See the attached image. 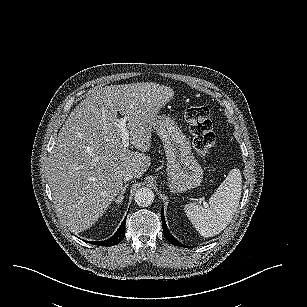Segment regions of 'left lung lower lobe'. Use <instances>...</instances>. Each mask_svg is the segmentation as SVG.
Wrapping results in <instances>:
<instances>
[{"label":"left lung lower lobe","mask_w":307,"mask_h":307,"mask_svg":"<svg viewBox=\"0 0 307 307\" xmlns=\"http://www.w3.org/2000/svg\"><path fill=\"white\" fill-rule=\"evenodd\" d=\"M161 219H162V224H163V232H164V236L165 238L173 245L175 246H180V247H184V245H182L178 240H176L174 238V236L169 232L167 226H166V222L164 219V211L163 208L161 210Z\"/></svg>","instance_id":"0a47b994"}]
</instances>
